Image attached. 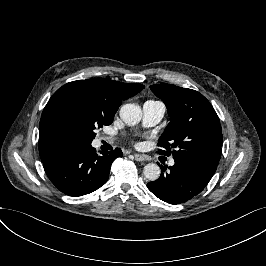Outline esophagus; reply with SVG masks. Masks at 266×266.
Here are the masks:
<instances>
[{
  "label": "esophagus",
  "mask_w": 266,
  "mask_h": 266,
  "mask_svg": "<svg viewBox=\"0 0 266 266\" xmlns=\"http://www.w3.org/2000/svg\"><path fill=\"white\" fill-rule=\"evenodd\" d=\"M134 158H135L136 161H146L147 160L145 155L138 154V153L134 154Z\"/></svg>",
  "instance_id": "34e87169"
}]
</instances>
